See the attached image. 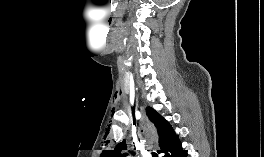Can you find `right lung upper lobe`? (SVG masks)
I'll return each mask as SVG.
<instances>
[{
  "label": "right lung upper lobe",
  "mask_w": 264,
  "mask_h": 157,
  "mask_svg": "<svg viewBox=\"0 0 264 157\" xmlns=\"http://www.w3.org/2000/svg\"><path fill=\"white\" fill-rule=\"evenodd\" d=\"M146 111L150 120L157 128L159 134V145L161 148L160 152H164L178 139V136L175 134L170 124L153 108L147 107ZM126 149V143L125 140H123L117 144L114 150H104L101 157H125L126 154L122 155L121 152Z\"/></svg>",
  "instance_id": "obj_1"
}]
</instances>
